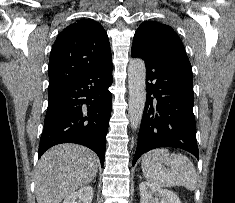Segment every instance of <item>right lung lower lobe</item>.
Segmentation results:
<instances>
[{"label": "right lung lower lobe", "mask_w": 235, "mask_h": 203, "mask_svg": "<svg viewBox=\"0 0 235 203\" xmlns=\"http://www.w3.org/2000/svg\"><path fill=\"white\" fill-rule=\"evenodd\" d=\"M112 69L109 60L65 84L48 89L38 158L54 145L77 143L96 152L103 166L112 107L108 90L113 82Z\"/></svg>", "instance_id": "98d812e1"}]
</instances>
